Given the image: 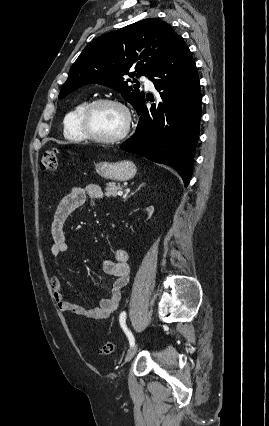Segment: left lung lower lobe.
Returning <instances> with one entry per match:
<instances>
[{"mask_svg":"<svg viewBox=\"0 0 269 426\" xmlns=\"http://www.w3.org/2000/svg\"><path fill=\"white\" fill-rule=\"evenodd\" d=\"M149 79L160 92L150 109L136 107V132L121 148L173 167L187 187L191 175L201 118L200 84L196 64L181 36L153 68Z\"/></svg>","mask_w":269,"mask_h":426,"instance_id":"obj_1","label":"left lung lower lobe"}]
</instances>
